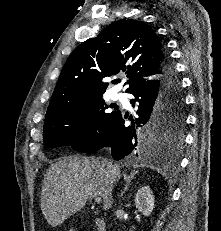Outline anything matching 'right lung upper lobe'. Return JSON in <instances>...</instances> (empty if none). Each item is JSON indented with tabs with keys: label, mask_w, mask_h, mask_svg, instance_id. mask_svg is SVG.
Listing matches in <instances>:
<instances>
[{
	"label": "right lung upper lobe",
	"mask_w": 221,
	"mask_h": 231,
	"mask_svg": "<svg viewBox=\"0 0 221 231\" xmlns=\"http://www.w3.org/2000/svg\"><path fill=\"white\" fill-rule=\"evenodd\" d=\"M163 53L159 38L146 23L122 20L109 25L70 54L45 118L73 99L102 96L109 85L105 77L125 73L127 93L159 80Z\"/></svg>",
	"instance_id": "1"
}]
</instances>
